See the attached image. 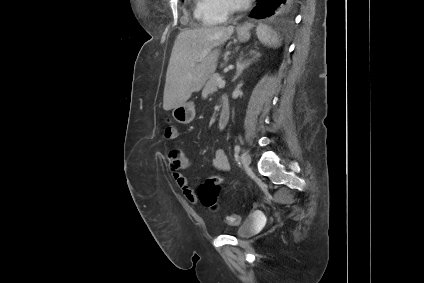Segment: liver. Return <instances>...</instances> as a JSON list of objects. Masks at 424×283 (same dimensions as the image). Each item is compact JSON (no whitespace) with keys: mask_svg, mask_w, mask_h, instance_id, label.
<instances>
[{"mask_svg":"<svg viewBox=\"0 0 424 283\" xmlns=\"http://www.w3.org/2000/svg\"><path fill=\"white\" fill-rule=\"evenodd\" d=\"M233 32V26L201 27L186 29L178 34L166 73L164 110L185 103L204 86L217 68L219 48L216 47H221ZM205 50L209 52L203 56Z\"/></svg>","mask_w":424,"mask_h":283,"instance_id":"1","label":"liver"}]
</instances>
